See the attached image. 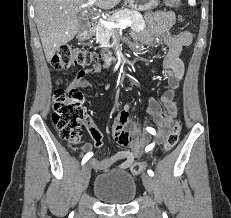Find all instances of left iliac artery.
I'll list each match as a JSON object with an SVG mask.
<instances>
[{
	"mask_svg": "<svg viewBox=\"0 0 231 218\" xmlns=\"http://www.w3.org/2000/svg\"><path fill=\"white\" fill-rule=\"evenodd\" d=\"M146 130H147L149 133H151L152 135H154V136L156 135V131H155L154 128H152V127H147ZM154 145H155L154 142L151 143V144H149L148 146H146L145 151L148 152V151L152 150L153 147H154ZM147 172H148V175L154 176V172H153L151 169H149Z\"/></svg>",
	"mask_w": 231,
	"mask_h": 218,
	"instance_id": "obj_1",
	"label": "left iliac artery"
}]
</instances>
